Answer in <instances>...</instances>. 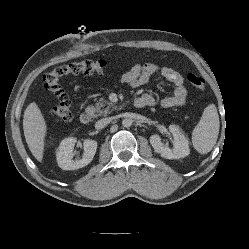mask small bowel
I'll return each mask as SVG.
<instances>
[{
    "label": "small bowel",
    "mask_w": 249,
    "mask_h": 249,
    "mask_svg": "<svg viewBox=\"0 0 249 249\" xmlns=\"http://www.w3.org/2000/svg\"><path fill=\"white\" fill-rule=\"evenodd\" d=\"M159 74L168 82L174 85V91L171 96L161 98L159 105L162 108L184 107L186 105L187 89L184 83L183 76L174 69L161 66L154 63H136L129 71L124 73L120 82L128 84L133 88H138L149 81V79ZM141 99L144 104L140 107L152 106L155 104V99L150 94H143L136 100Z\"/></svg>",
    "instance_id": "small-bowel-1"
}]
</instances>
